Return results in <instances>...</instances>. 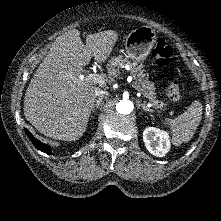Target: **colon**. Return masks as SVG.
<instances>
[{"mask_svg":"<svg viewBox=\"0 0 221 221\" xmlns=\"http://www.w3.org/2000/svg\"><path fill=\"white\" fill-rule=\"evenodd\" d=\"M152 56L159 68L169 67L173 56V49L170 43L164 38H158L153 46ZM160 78L162 80H169L168 95L172 101H179L182 97L181 87L178 81L173 79L172 73L170 71H163L160 74Z\"/></svg>","mask_w":221,"mask_h":221,"instance_id":"obj_1","label":"colon"}]
</instances>
